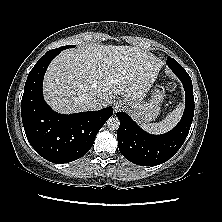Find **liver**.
Segmentation results:
<instances>
[{
    "mask_svg": "<svg viewBox=\"0 0 222 222\" xmlns=\"http://www.w3.org/2000/svg\"><path fill=\"white\" fill-rule=\"evenodd\" d=\"M162 66L149 52L131 46L90 44L64 50L48 67L44 96L62 114L88 110L86 97H96L100 108L117 94L143 99Z\"/></svg>",
    "mask_w": 222,
    "mask_h": 222,
    "instance_id": "obj_1",
    "label": "liver"
}]
</instances>
